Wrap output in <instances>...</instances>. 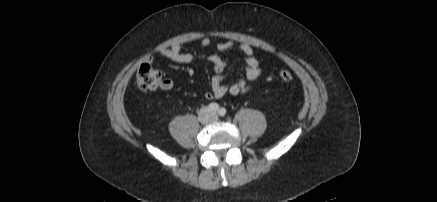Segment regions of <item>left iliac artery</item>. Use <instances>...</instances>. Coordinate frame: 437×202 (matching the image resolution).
<instances>
[{"label":"left iliac artery","mask_w":437,"mask_h":202,"mask_svg":"<svg viewBox=\"0 0 437 202\" xmlns=\"http://www.w3.org/2000/svg\"><path fill=\"white\" fill-rule=\"evenodd\" d=\"M218 114L220 116H224L226 114V109L225 108H220L219 111H218Z\"/></svg>","instance_id":"left-iliac-artery-1"}]
</instances>
